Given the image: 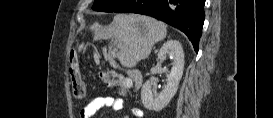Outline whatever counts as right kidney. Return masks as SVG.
Listing matches in <instances>:
<instances>
[{
  "instance_id": "obj_1",
  "label": "right kidney",
  "mask_w": 273,
  "mask_h": 118,
  "mask_svg": "<svg viewBox=\"0 0 273 118\" xmlns=\"http://www.w3.org/2000/svg\"><path fill=\"white\" fill-rule=\"evenodd\" d=\"M169 55L172 60L171 72L167 75V85L157 93L152 89V82L149 80L143 85L141 90V100L145 108L154 111H161L169 104L176 94L179 82L184 69V52L179 41L169 40L163 44L158 59L163 61Z\"/></svg>"
}]
</instances>
